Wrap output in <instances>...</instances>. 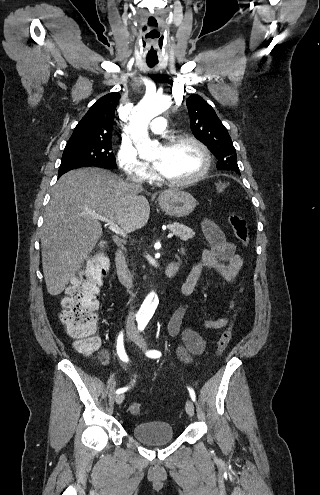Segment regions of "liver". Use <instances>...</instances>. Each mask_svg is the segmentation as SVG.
<instances>
[{
	"mask_svg": "<svg viewBox=\"0 0 320 495\" xmlns=\"http://www.w3.org/2000/svg\"><path fill=\"white\" fill-rule=\"evenodd\" d=\"M93 212L130 233L147 223L150 206L141 190L130 191L124 180L107 170L82 168L63 174L45 209L41 233L43 274L50 295L64 291L101 237L102 227Z\"/></svg>",
	"mask_w": 320,
	"mask_h": 495,
	"instance_id": "6515ba94",
	"label": "liver"
}]
</instances>
